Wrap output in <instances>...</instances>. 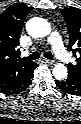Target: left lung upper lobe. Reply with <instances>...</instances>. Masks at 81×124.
<instances>
[{
	"instance_id": "left-lung-upper-lobe-1",
	"label": "left lung upper lobe",
	"mask_w": 81,
	"mask_h": 124,
	"mask_svg": "<svg viewBox=\"0 0 81 124\" xmlns=\"http://www.w3.org/2000/svg\"><path fill=\"white\" fill-rule=\"evenodd\" d=\"M61 12L69 32L68 50L72 51L73 55L77 57L74 64L69 63L68 65V77H72L81 83V9L71 7L65 8Z\"/></svg>"
}]
</instances>
